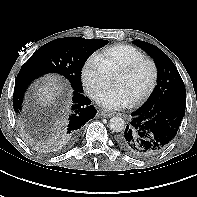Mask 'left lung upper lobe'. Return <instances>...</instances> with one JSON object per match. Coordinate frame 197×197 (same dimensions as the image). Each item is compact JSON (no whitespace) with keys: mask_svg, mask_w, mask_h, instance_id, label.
I'll list each match as a JSON object with an SVG mask.
<instances>
[{"mask_svg":"<svg viewBox=\"0 0 197 197\" xmlns=\"http://www.w3.org/2000/svg\"><path fill=\"white\" fill-rule=\"evenodd\" d=\"M154 59L157 67V85L148 100L141 107H151L164 97L174 94H186L181 76L171 59L158 47L144 42L133 41Z\"/></svg>","mask_w":197,"mask_h":197,"instance_id":"obj_1","label":"left lung upper lobe"}]
</instances>
